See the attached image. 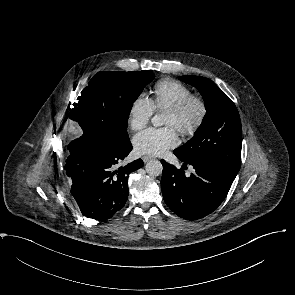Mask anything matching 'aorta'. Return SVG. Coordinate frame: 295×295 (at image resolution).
I'll use <instances>...</instances> for the list:
<instances>
[{
	"label": "aorta",
	"mask_w": 295,
	"mask_h": 295,
	"mask_svg": "<svg viewBox=\"0 0 295 295\" xmlns=\"http://www.w3.org/2000/svg\"><path fill=\"white\" fill-rule=\"evenodd\" d=\"M151 121L153 126L155 127L163 125V118L160 114L153 116ZM145 169L149 176L157 177L162 174L163 166L162 163L158 160H150L149 162H147Z\"/></svg>",
	"instance_id": "aorta-1"
}]
</instances>
